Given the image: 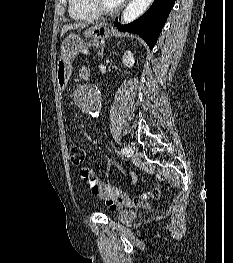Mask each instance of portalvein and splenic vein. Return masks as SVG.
Segmentation results:
<instances>
[{
  "instance_id": "obj_1",
  "label": "portal vein and splenic vein",
  "mask_w": 233,
  "mask_h": 263,
  "mask_svg": "<svg viewBox=\"0 0 233 263\" xmlns=\"http://www.w3.org/2000/svg\"><path fill=\"white\" fill-rule=\"evenodd\" d=\"M83 53H84V54H88V51H87V50H84Z\"/></svg>"
}]
</instances>
